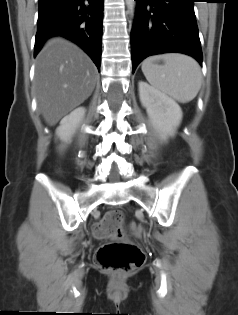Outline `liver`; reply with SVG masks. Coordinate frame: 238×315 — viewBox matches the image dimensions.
I'll return each instance as SVG.
<instances>
[{
  "label": "liver",
  "instance_id": "liver-1",
  "mask_svg": "<svg viewBox=\"0 0 238 315\" xmlns=\"http://www.w3.org/2000/svg\"><path fill=\"white\" fill-rule=\"evenodd\" d=\"M97 69L74 43L49 39L36 59L35 89L39 109L49 126L83 103L92 93Z\"/></svg>",
  "mask_w": 238,
  "mask_h": 315
}]
</instances>
